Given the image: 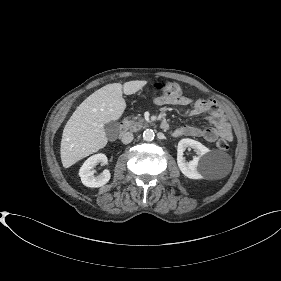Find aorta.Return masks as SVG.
<instances>
[{
  "label": "aorta",
  "instance_id": "aorta-1",
  "mask_svg": "<svg viewBox=\"0 0 281 281\" xmlns=\"http://www.w3.org/2000/svg\"><path fill=\"white\" fill-rule=\"evenodd\" d=\"M155 133L152 129H146L143 132V139L145 141H152L154 139Z\"/></svg>",
  "mask_w": 281,
  "mask_h": 281
}]
</instances>
